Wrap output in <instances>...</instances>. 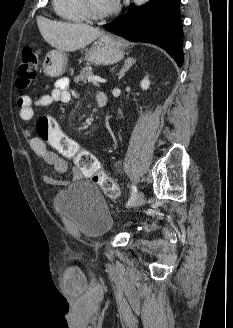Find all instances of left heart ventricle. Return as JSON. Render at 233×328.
<instances>
[{
    "label": "left heart ventricle",
    "instance_id": "1",
    "mask_svg": "<svg viewBox=\"0 0 233 328\" xmlns=\"http://www.w3.org/2000/svg\"><path fill=\"white\" fill-rule=\"evenodd\" d=\"M90 3L97 11H107L115 5L111 0H90Z\"/></svg>",
    "mask_w": 233,
    "mask_h": 328
}]
</instances>
